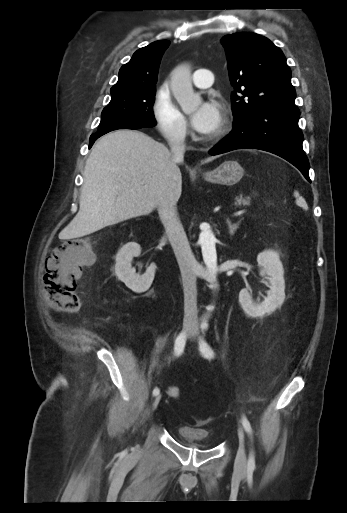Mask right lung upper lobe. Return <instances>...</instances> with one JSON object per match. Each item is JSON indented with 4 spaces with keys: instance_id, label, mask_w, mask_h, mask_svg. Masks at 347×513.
Returning <instances> with one entry per match:
<instances>
[{
    "instance_id": "obj_1",
    "label": "right lung upper lobe",
    "mask_w": 347,
    "mask_h": 513,
    "mask_svg": "<svg viewBox=\"0 0 347 513\" xmlns=\"http://www.w3.org/2000/svg\"><path fill=\"white\" fill-rule=\"evenodd\" d=\"M169 44L168 40H159L137 50L131 60L121 67L118 82L110 91L156 86L160 61Z\"/></svg>"
}]
</instances>
